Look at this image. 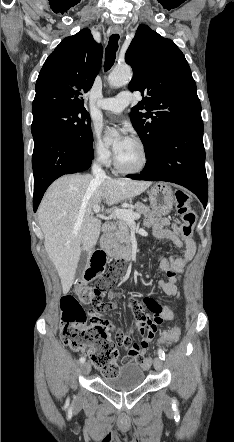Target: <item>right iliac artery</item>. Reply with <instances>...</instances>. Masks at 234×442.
Returning <instances> with one entry per match:
<instances>
[{"label": "right iliac artery", "instance_id": "1", "mask_svg": "<svg viewBox=\"0 0 234 442\" xmlns=\"http://www.w3.org/2000/svg\"><path fill=\"white\" fill-rule=\"evenodd\" d=\"M85 362V358L84 357H81L80 359H79V363L80 364H83Z\"/></svg>", "mask_w": 234, "mask_h": 442}]
</instances>
